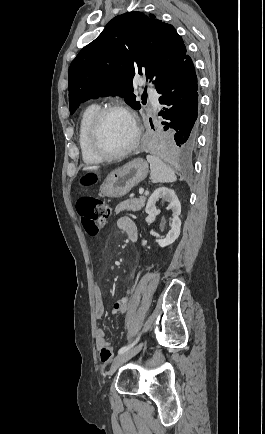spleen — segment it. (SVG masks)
I'll list each match as a JSON object with an SVG mask.
<instances>
[{
	"label": "spleen",
	"instance_id": "obj_1",
	"mask_svg": "<svg viewBox=\"0 0 265 434\" xmlns=\"http://www.w3.org/2000/svg\"><path fill=\"white\" fill-rule=\"evenodd\" d=\"M148 164H150V178L154 180V182H176L177 178L175 176L174 170L164 164L160 158H156V156H147L146 158Z\"/></svg>",
	"mask_w": 265,
	"mask_h": 434
}]
</instances>
